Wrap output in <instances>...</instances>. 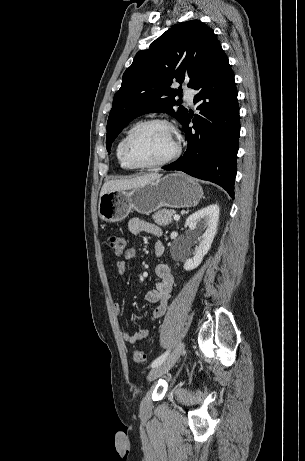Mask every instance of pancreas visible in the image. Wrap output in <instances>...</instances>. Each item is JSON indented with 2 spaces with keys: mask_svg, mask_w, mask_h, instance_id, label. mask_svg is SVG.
Returning <instances> with one entry per match:
<instances>
[{
  "mask_svg": "<svg viewBox=\"0 0 305 461\" xmlns=\"http://www.w3.org/2000/svg\"><path fill=\"white\" fill-rule=\"evenodd\" d=\"M175 214L174 210L161 209L152 215L156 224L161 226L169 225L173 222L172 216Z\"/></svg>",
  "mask_w": 305,
  "mask_h": 461,
  "instance_id": "obj_1",
  "label": "pancreas"
}]
</instances>
